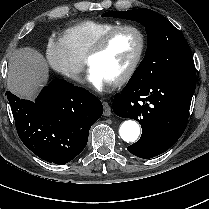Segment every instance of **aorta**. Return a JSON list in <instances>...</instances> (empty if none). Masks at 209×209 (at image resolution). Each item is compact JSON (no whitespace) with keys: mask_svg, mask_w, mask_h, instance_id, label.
<instances>
[{"mask_svg":"<svg viewBox=\"0 0 209 209\" xmlns=\"http://www.w3.org/2000/svg\"><path fill=\"white\" fill-rule=\"evenodd\" d=\"M119 134L125 142H134L140 135V126L134 120H126L121 124Z\"/></svg>","mask_w":209,"mask_h":209,"instance_id":"obj_1","label":"aorta"}]
</instances>
